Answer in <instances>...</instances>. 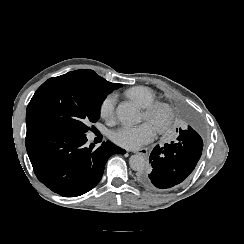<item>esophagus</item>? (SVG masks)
<instances>
[{"instance_id":"obj_1","label":"esophagus","mask_w":244,"mask_h":244,"mask_svg":"<svg viewBox=\"0 0 244 244\" xmlns=\"http://www.w3.org/2000/svg\"><path fill=\"white\" fill-rule=\"evenodd\" d=\"M133 153L136 154H141L143 156H147L148 155V149L147 148H141V149H137V150H132Z\"/></svg>"}]
</instances>
